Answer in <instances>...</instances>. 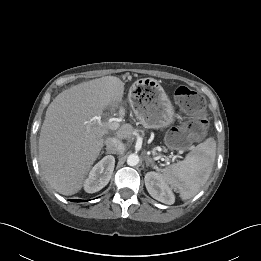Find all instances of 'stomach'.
Segmentation results:
<instances>
[{"label": "stomach", "mask_w": 261, "mask_h": 261, "mask_svg": "<svg viewBox=\"0 0 261 261\" xmlns=\"http://www.w3.org/2000/svg\"><path fill=\"white\" fill-rule=\"evenodd\" d=\"M144 96L137 100L132 97L137 118L145 128L162 129L174 121L175 110L165 90L157 80L145 84Z\"/></svg>", "instance_id": "obj_1"}]
</instances>
